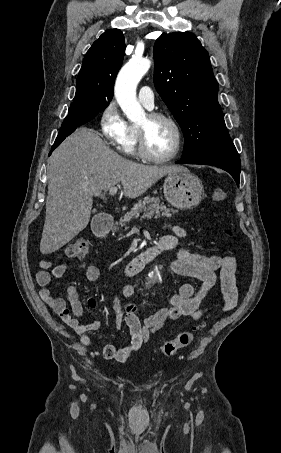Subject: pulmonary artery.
I'll return each mask as SVG.
<instances>
[{"label": "pulmonary artery", "instance_id": "e3ab8cb5", "mask_svg": "<svg viewBox=\"0 0 281 453\" xmlns=\"http://www.w3.org/2000/svg\"><path fill=\"white\" fill-rule=\"evenodd\" d=\"M138 100L148 109H152L154 106V95L150 91L148 85L143 86L138 94Z\"/></svg>", "mask_w": 281, "mask_h": 453}]
</instances>
